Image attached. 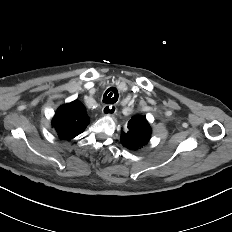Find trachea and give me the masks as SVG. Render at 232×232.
Returning a JSON list of instances; mask_svg holds the SVG:
<instances>
[{"instance_id":"1","label":"trachea","mask_w":232,"mask_h":232,"mask_svg":"<svg viewBox=\"0 0 232 232\" xmlns=\"http://www.w3.org/2000/svg\"><path fill=\"white\" fill-rule=\"evenodd\" d=\"M118 91L116 88H109L103 95V102L106 104H114L118 100Z\"/></svg>"}]
</instances>
